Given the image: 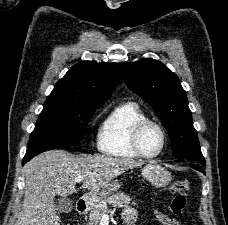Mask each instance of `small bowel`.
Here are the masks:
<instances>
[{"instance_id": "small-bowel-1", "label": "small bowel", "mask_w": 228, "mask_h": 225, "mask_svg": "<svg viewBox=\"0 0 228 225\" xmlns=\"http://www.w3.org/2000/svg\"><path fill=\"white\" fill-rule=\"evenodd\" d=\"M136 217H137V213L132 208H126L125 211L123 212V218L125 220L126 225H128L127 223H132L131 225H133ZM156 219L162 225H181V223L178 220L168 217L162 213H156Z\"/></svg>"}]
</instances>
